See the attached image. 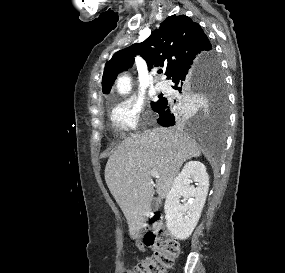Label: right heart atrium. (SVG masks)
<instances>
[{"mask_svg":"<svg viewBox=\"0 0 285 273\" xmlns=\"http://www.w3.org/2000/svg\"><path fill=\"white\" fill-rule=\"evenodd\" d=\"M143 110V103L134 98L119 102L111 113L113 126L119 132L136 131L140 126Z\"/></svg>","mask_w":285,"mask_h":273,"instance_id":"obj_1","label":"right heart atrium"}]
</instances>
